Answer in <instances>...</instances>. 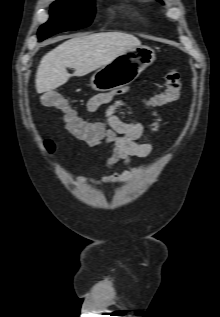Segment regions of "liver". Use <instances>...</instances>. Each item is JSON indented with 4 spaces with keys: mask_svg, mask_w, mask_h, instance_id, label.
<instances>
[{
    "mask_svg": "<svg viewBox=\"0 0 220 317\" xmlns=\"http://www.w3.org/2000/svg\"><path fill=\"white\" fill-rule=\"evenodd\" d=\"M140 46L138 38L122 32L73 37L42 57L36 72V91L56 89L70 77L84 76L107 65L121 53ZM67 67L74 68L75 72L68 73Z\"/></svg>",
    "mask_w": 220,
    "mask_h": 317,
    "instance_id": "6515ba94",
    "label": "liver"
}]
</instances>
